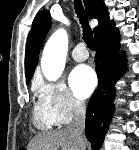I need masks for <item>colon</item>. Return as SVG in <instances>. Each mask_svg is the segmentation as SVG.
<instances>
[{
	"mask_svg": "<svg viewBox=\"0 0 139 150\" xmlns=\"http://www.w3.org/2000/svg\"><path fill=\"white\" fill-rule=\"evenodd\" d=\"M19 150H25V149H23V148H20Z\"/></svg>",
	"mask_w": 139,
	"mask_h": 150,
	"instance_id": "colon-1",
	"label": "colon"
}]
</instances>
